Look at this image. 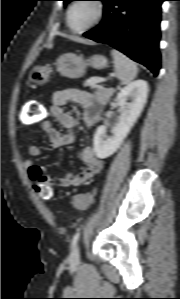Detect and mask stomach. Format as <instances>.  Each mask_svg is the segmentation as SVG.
<instances>
[{
    "label": "stomach",
    "mask_w": 180,
    "mask_h": 299,
    "mask_svg": "<svg viewBox=\"0 0 180 299\" xmlns=\"http://www.w3.org/2000/svg\"><path fill=\"white\" fill-rule=\"evenodd\" d=\"M107 63L108 61L103 55H93L85 60L82 55L65 53L58 57L55 65L61 75L68 78H79L84 75L88 66L103 69ZM51 71L48 66H34L29 71L28 82L35 86L43 85L48 81Z\"/></svg>",
    "instance_id": "0dacf381"
}]
</instances>
